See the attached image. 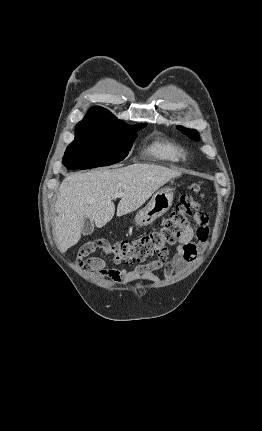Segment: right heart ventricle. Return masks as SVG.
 <instances>
[{"label": "right heart ventricle", "mask_w": 262, "mask_h": 431, "mask_svg": "<svg viewBox=\"0 0 262 431\" xmlns=\"http://www.w3.org/2000/svg\"><path fill=\"white\" fill-rule=\"evenodd\" d=\"M148 154L167 164L180 165L187 161L186 151L174 141L156 138L147 148Z\"/></svg>", "instance_id": "obj_1"}]
</instances>
